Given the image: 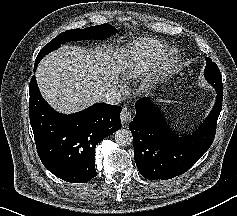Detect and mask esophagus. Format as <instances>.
<instances>
[{"mask_svg": "<svg viewBox=\"0 0 237 216\" xmlns=\"http://www.w3.org/2000/svg\"><path fill=\"white\" fill-rule=\"evenodd\" d=\"M131 119H132L131 110L127 107H124L120 114V120L122 124L126 125L129 121H131Z\"/></svg>", "mask_w": 237, "mask_h": 216, "instance_id": "esophagus-1", "label": "esophagus"}]
</instances>
